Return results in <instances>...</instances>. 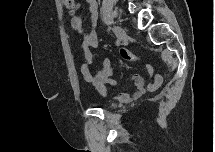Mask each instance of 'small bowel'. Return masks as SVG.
<instances>
[{"label": "small bowel", "instance_id": "small-bowel-1", "mask_svg": "<svg viewBox=\"0 0 215 152\" xmlns=\"http://www.w3.org/2000/svg\"><path fill=\"white\" fill-rule=\"evenodd\" d=\"M88 11L91 16L93 28L96 25L98 18V7L96 0H87ZM71 27L82 37V49L84 50L85 58L88 62L92 59L91 49H96L98 47V39L95 30L89 32L84 30L83 20L79 16H73L71 18ZM82 73L85 80L91 83L97 92L103 96L107 94V86L114 85V82L111 80L113 75V68L111 65V60L106 58L103 61L102 68L98 70L95 74H91L90 70L86 65L82 67ZM134 86L136 88L135 92L124 91L118 95V100L121 102H126L131 99L139 98L147 90L157 89L162 82V79L159 75H154L152 80L146 85L144 78L139 74H134L132 76Z\"/></svg>", "mask_w": 215, "mask_h": 152}]
</instances>
